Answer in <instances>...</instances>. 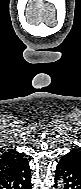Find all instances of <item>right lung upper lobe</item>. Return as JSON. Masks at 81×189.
I'll return each mask as SVG.
<instances>
[{
    "label": "right lung upper lobe",
    "mask_w": 81,
    "mask_h": 189,
    "mask_svg": "<svg viewBox=\"0 0 81 189\" xmlns=\"http://www.w3.org/2000/svg\"><path fill=\"white\" fill-rule=\"evenodd\" d=\"M27 160L21 153L9 149L0 156V174L7 172Z\"/></svg>",
    "instance_id": "1"
}]
</instances>
